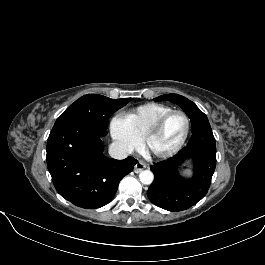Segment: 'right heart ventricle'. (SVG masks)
<instances>
[{"mask_svg": "<svg viewBox=\"0 0 265 265\" xmlns=\"http://www.w3.org/2000/svg\"><path fill=\"white\" fill-rule=\"evenodd\" d=\"M170 107L158 103H146L122 114V118L132 133L142 139L146 131Z\"/></svg>", "mask_w": 265, "mask_h": 265, "instance_id": "obj_1", "label": "right heart ventricle"}]
</instances>
